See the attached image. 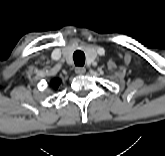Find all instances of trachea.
Returning <instances> with one entry per match:
<instances>
[{"label":"trachea","mask_w":165,"mask_h":156,"mask_svg":"<svg viewBox=\"0 0 165 156\" xmlns=\"http://www.w3.org/2000/svg\"><path fill=\"white\" fill-rule=\"evenodd\" d=\"M74 63L76 66H83L85 64L84 52L78 50L73 54Z\"/></svg>","instance_id":"3493384b"}]
</instances>
